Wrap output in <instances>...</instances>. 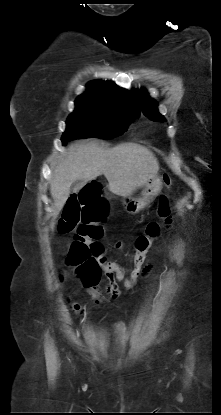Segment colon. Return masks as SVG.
Masks as SVG:
<instances>
[{
    "label": "colon",
    "mask_w": 221,
    "mask_h": 415,
    "mask_svg": "<svg viewBox=\"0 0 221 415\" xmlns=\"http://www.w3.org/2000/svg\"><path fill=\"white\" fill-rule=\"evenodd\" d=\"M169 187V177L164 178ZM158 214L169 220L170 209L168 198L162 196L159 201ZM106 218V203L98 193L96 186L89 185L74 194L64 208L58 224L60 233L76 230L73 242L67 255V264L74 267L90 285H96L102 275L111 283H123L124 291H132L148 262L147 250L152 240L158 235V223H150L146 232L135 240V252L130 257V273L126 275L124 264L119 259H111L102 255L104 248L98 240L103 236L102 222Z\"/></svg>",
    "instance_id": "colon-1"
}]
</instances>
